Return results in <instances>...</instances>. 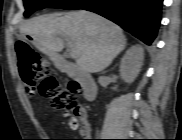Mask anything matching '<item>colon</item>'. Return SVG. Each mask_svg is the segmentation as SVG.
<instances>
[{"label":"colon","mask_w":182,"mask_h":140,"mask_svg":"<svg viewBox=\"0 0 182 140\" xmlns=\"http://www.w3.org/2000/svg\"><path fill=\"white\" fill-rule=\"evenodd\" d=\"M18 66L29 95L37 93L49 98L51 106L72 115L71 125L77 127L87 123L84 110L76 103L80 87L76 82L63 87L50 74V66L38 52L26 41L18 40L15 44Z\"/></svg>","instance_id":"colon-1"}]
</instances>
